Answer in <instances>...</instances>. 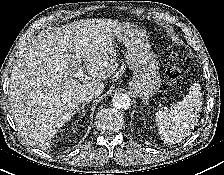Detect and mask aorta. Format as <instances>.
<instances>
[{"instance_id":"762f6f07","label":"aorta","mask_w":224,"mask_h":175,"mask_svg":"<svg viewBox=\"0 0 224 175\" xmlns=\"http://www.w3.org/2000/svg\"><path fill=\"white\" fill-rule=\"evenodd\" d=\"M112 103L116 109L127 110L131 105V99L125 93H118L114 95Z\"/></svg>"}]
</instances>
